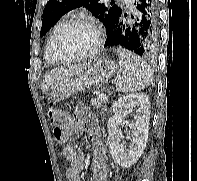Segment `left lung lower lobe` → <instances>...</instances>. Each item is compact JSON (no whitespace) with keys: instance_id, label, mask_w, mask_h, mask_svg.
<instances>
[{"instance_id":"obj_1","label":"left lung lower lobe","mask_w":197,"mask_h":181,"mask_svg":"<svg viewBox=\"0 0 197 181\" xmlns=\"http://www.w3.org/2000/svg\"><path fill=\"white\" fill-rule=\"evenodd\" d=\"M132 23L122 14L107 29L105 46L127 49L139 56L153 57L159 40L158 0H135Z\"/></svg>"}]
</instances>
